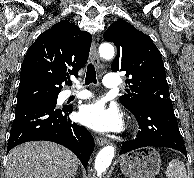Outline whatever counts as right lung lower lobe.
I'll return each instance as SVG.
<instances>
[{
	"mask_svg": "<svg viewBox=\"0 0 194 178\" xmlns=\"http://www.w3.org/2000/svg\"><path fill=\"white\" fill-rule=\"evenodd\" d=\"M55 107L56 104L44 102L16 105L7 152L28 141H53L70 149L86 167L94 150L92 135L85 127L70 121L72 107Z\"/></svg>",
	"mask_w": 194,
	"mask_h": 178,
	"instance_id": "right-lung-lower-lobe-1",
	"label": "right lung lower lobe"
}]
</instances>
